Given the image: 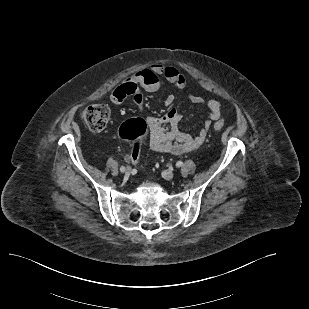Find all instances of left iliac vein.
Instances as JSON below:
<instances>
[{"mask_svg":"<svg viewBox=\"0 0 309 309\" xmlns=\"http://www.w3.org/2000/svg\"><path fill=\"white\" fill-rule=\"evenodd\" d=\"M162 177L166 180H172L174 178V173L170 170H165L162 172Z\"/></svg>","mask_w":309,"mask_h":309,"instance_id":"1","label":"left iliac vein"}]
</instances>
